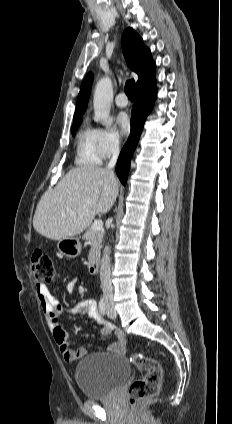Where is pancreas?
<instances>
[{
	"mask_svg": "<svg viewBox=\"0 0 232 424\" xmlns=\"http://www.w3.org/2000/svg\"><path fill=\"white\" fill-rule=\"evenodd\" d=\"M104 230H94L92 225L87 229L86 233L83 235L84 239L89 240L91 249L89 251L88 260L92 262L95 257L99 254L101 248V242L103 239Z\"/></svg>",
	"mask_w": 232,
	"mask_h": 424,
	"instance_id": "obj_1",
	"label": "pancreas"
}]
</instances>
